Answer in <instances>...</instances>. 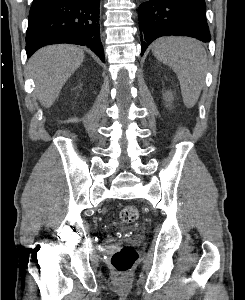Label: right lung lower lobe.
<instances>
[{
	"label": "right lung lower lobe",
	"mask_w": 245,
	"mask_h": 300,
	"mask_svg": "<svg viewBox=\"0 0 245 300\" xmlns=\"http://www.w3.org/2000/svg\"><path fill=\"white\" fill-rule=\"evenodd\" d=\"M99 5L100 0H34L26 33L28 57L45 45L72 43L87 46L105 62Z\"/></svg>",
	"instance_id": "1"
}]
</instances>
